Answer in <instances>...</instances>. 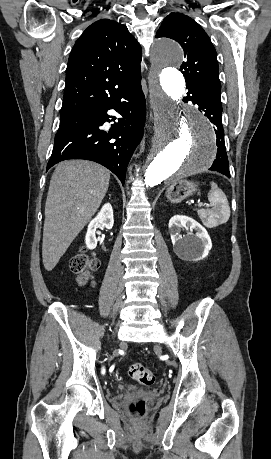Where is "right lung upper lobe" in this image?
<instances>
[{
	"instance_id": "right-lung-upper-lobe-1",
	"label": "right lung upper lobe",
	"mask_w": 271,
	"mask_h": 459,
	"mask_svg": "<svg viewBox=\"0 0 271 459\" xmlns=\"http://www.w3.org/2000/svg\"><path fill=\"white\" fill-rule=\"evenodd\" d=\"M141 47L127 27L110 19L91 24L67 65L61 113L81 112L141 79Z\"/></svg>"
}]
</instances>
